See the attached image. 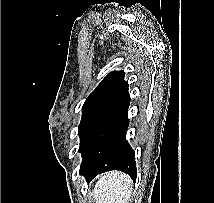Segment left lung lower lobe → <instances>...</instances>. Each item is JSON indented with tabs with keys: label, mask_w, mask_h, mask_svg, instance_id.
<instances>
[{
	"label": "left lung lower lobe",
	"mask_w": 214,
	"mask_h": 203,
	"mask_svg": "<svg viewBox=\"0 0 214 203\" xmlns=\"http://www.w3.org/2000/svg\"><path fill=\"white\" fill-rule=\"evenodd\" d=\"M129 103L127 85L86 131L79 147L83 158L79 174L85 176L87 181L100 173L120 170L135 182V153L126 140Z\"/></svg>",
	"instance_id": "0a47b994"
}]
</instances>
